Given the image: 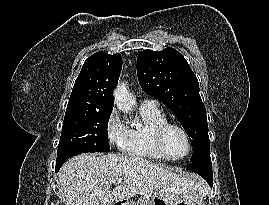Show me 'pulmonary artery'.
Returning <instances> with one entry per match:
<instances>
[{
    "label": "pulmonary artery",
    "instance_id": "1",
    "mask_svg": "<svg viewBox=\"0 0 269 205\" xmlns=\"http://www.w3.org/2000/svg\"><path fill=\"white\" fill-rule=\"evenodd\" d=\"M158 105H159V102L156 99H145L141 103V106L150 107V108H157Z\"/></svg>",
    "mask_w": 269,
    "mask_h": 205
}]
</instances>
